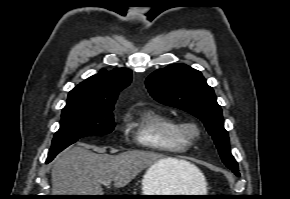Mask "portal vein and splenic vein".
Listing matches in <instances>:
<instances>
[{
	"instance_id": "obj_1",
	"label": "portal vein and splenic vein",
	"mask_w": 290,
	"mask_h": 199,
	"mask_svg": "<svg viewBox=\"0 0 290 199\" xmlns=\"http://www.w3.org/2000/svg\"><path fill=\"white\" fill-rule=\"evenodd\" d=\"M102 184L109 185L110 184V181L103 182Z\"/></svg>"
}]
</instances>
